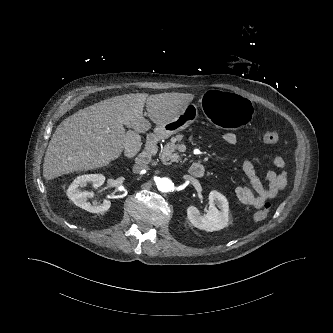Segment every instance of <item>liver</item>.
Returning <instances> with one entry per match:
<instances>
[{
    "label": "liver",
    "instance_id": "liver-1",
    "mask_svg": "<svg viewBox=\"0 0 333 333\" xmlns=\"http://www.w3.org/2000/svg\"><path fill=\"white\" fill-rule=\"evenodd\" d=\"M193 98V94L177 92L125 94L79 110L63 120L52 135L44 157V178L108 165L126 146L123 125L138 133L151 128L143 117L145 103L148 117L160 125L177 116Z\"/></svg>",
    "mask_w": 333,
    "mask_h": 333
}]
</instances>
